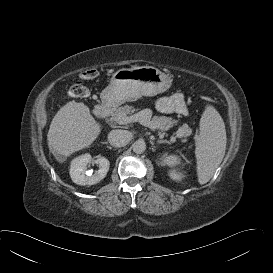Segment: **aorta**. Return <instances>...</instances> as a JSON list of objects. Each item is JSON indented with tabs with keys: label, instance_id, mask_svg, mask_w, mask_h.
<instances>
[{
	"label": "aorta",
	"instance_id": "762f6f07",
	"mask_svg": "<svg viewBox=\"0 0 273 273\" xmlns=\"http://www.w3.org/2000/svg\"><path fill=\"white\" fill-rule=\"evenodd\" d=\"M131 147L133 152L137 154H141L146 150V144L143 140L135 141Z\"/></svg>",
	"mask_w": 273,
	"mask_h": 273
}]
</instances>
